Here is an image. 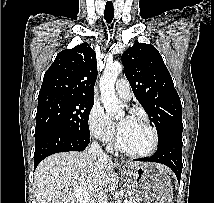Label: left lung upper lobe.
<instances>
[{
  "label": "left lung upper lobe",
  "mask_w": 214,
  "mask_h": 203,
  "mask_svg": "<svg viewBox=\"0 0 214 203\" xmlns=\"http://www.w3.org/2000/svg\"><path fill=\"white\" fill-rule=\"evenodd\" d=\"M125 76L158 133V144L182 133L181 101L157 49L135 42L122 54Z\"/></svg>",
  "instance_id": "left-lung-upper-lobe-1"
}]
</instances>
